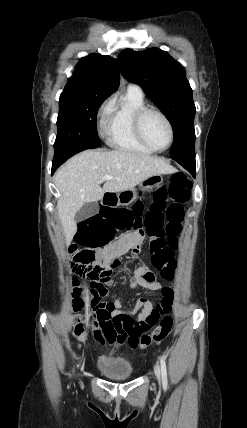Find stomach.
I'll return each mask as SVG.
<instances>
[{"mask_svg": "<svg viewBox=\"0 0 247 428\" xmlns=\"http://www.w3.org/2000/svg\"><path fill=\"white\" fill-rule=\"evenodd\" d=\"M163 182V177L161 174L154 175L140 184L141 190H152L155 187H158ZM119 201L124 205H128L137 199L136 189L132 188L130 190H126L118 194Z\"/></svg>", "mask_w": 247, "mask_h": 428, "instance_id": "1", "label": "stomach"}]
</instances>
